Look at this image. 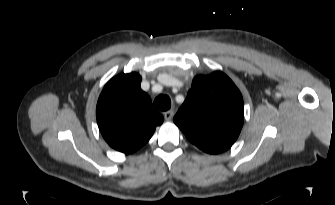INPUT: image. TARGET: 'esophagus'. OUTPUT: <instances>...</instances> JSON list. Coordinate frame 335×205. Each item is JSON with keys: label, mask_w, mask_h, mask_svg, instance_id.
I'll use <instances>...</instances> for the list:
<instances>
[{"label": "esophagus", "mask_w": 335, "mask_h": 205, "mask_svg": "<svg viewBox=\"0 0 335 205\" xmlns=\"http://www.w3.org/2000/svg\"><path fill=\"white\" fill-rule=\"evenodd\" d=\"M173 116H174V111L173 110H168V111L164 112V118H165L166 121L172 120Z\"/></svg>", "instance_id": "esophagus-1"}]
</instances>
